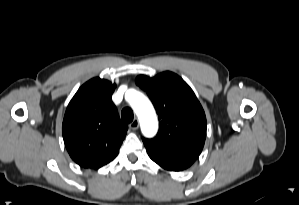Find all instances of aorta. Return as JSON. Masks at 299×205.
Instances as JSON below:
<instances>
[{"label":"aorta","mask_w":299,"mask_h":205,"mask_svg":"<svg viewBox=\"0 0 299 205\" xmlns=\"http://www.w3.org/2000/svg\"><path fill=\"white\" fill-rule=\"evenodd\" d=\"M130 105L137 114L142 133L146 137H152L158 130V120L153 105L142 93L131 91Z\"/></svg>","instance_id":"obj_1"}]
</instances>
